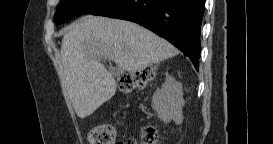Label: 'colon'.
<instances>
[{
    "label": "colon",
    "instance_id": "5ec220e1",
    "mask_svg": "<svg viewBox=\"0 0 273 144\" xmlns=\"http://www.w3.org/2000/svg\"><path fill=\"white\" fill-rule=\"evenodd\" d=\"M155 69L153 67H145L131 74L124 75L119 78V89L124 93H130L138 88H142L153 80ZM142 137L145 143H156L159 139L158 131L147 126L142 130ZM115 130L110 125H97L91 128L88 139L90 144H114Z\"/></svg>",
    "mask_w": 273,
    "mask_h": 144
}]
</instances>
